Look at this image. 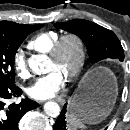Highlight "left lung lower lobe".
I'll return each mask as SVG.
<instances>
[{"mask_svg": "<svg viewBox=\"0 0 130 130\" xmlns=\"http://www.w3.org/2000/svg\"><path fill=\"white\" fill-rule=\"evenodd\" d=\"M108 85V82H104L102 86ZM98 84L93 82V80H89L88 83L86 84V92H91L92 87H96ZM66 107L67 104L64 105V108L62 109L59 117L57 118L55 125H54V130H67V125H66Z\"/></svg>", "mask_w": 130, "mask_h": 130, "instance_id": "left-lung-lower-lobe-1", "label": "left lung lower lobe"}]
</instances>
